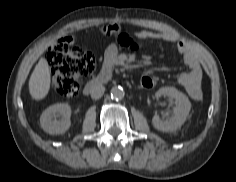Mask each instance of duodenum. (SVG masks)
<instances>
[{"mask_svg": "<svg viewBox=\"0 0 236 182\" xmlns=\"http://www.w3.org/2000/svg\"><path fill=\"white\" fill-rule=\"evenodd\" d=\"M110 78H111V71L108 68L103 69L98 76L93 77L85 84L83 89L84 94L88 95L97 86L108 82Z\"/></svg>", "mask_w": 236, "mask_h": 182, "instance_id": "1", "label": "duodenum"}]
</instances>
